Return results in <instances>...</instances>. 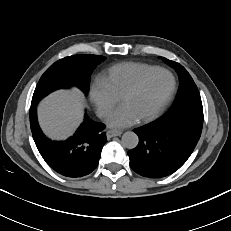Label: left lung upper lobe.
Here are the masks:
<instances>
[{
	"label": "left lung upper lobe",
	"instance_id": "5c2ea615",
	"mask_svg": "<svg viewBox=\"0 0 231 231\" xmlns=\"http://www.w3.org/2000/svg\"><path fill=\"white\" fill-rule=\"evenodd\" d=\"M179 75V90L172 110L158 120L195 119L203 121L201 97L190 74L179 63L162 57Z\"/></svg>",
	"mask_w": 231,
	"mask_h": 231
}]
</instances>
